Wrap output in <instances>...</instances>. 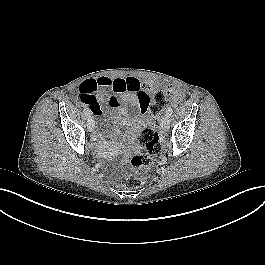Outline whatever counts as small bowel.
<instances>
[{
    "instance_id": "c3829d8e",
    "label": "small bowel",
    "mask_w": 265,
    "mask_h": 265,
    "mask_svg": "<svg viewBox=\"0 0 265 265\" xmlns=\"http://www.w3.org/2000/svg\"><path fill=\"white\" fill-rule=\"evenodd\" d=\"M155 88L153 82H141L138 78L129 76L125 78H110L106 76L87 80L80 87L78 94L74 96L76 102L88 107L94 116H101L102 104L107 103L110 107L118 108L117 120L123 124L138 121L128 116L127 109L121 106L122 102L133 105L137 113L144 114L151 107V91ZM113 91L116 96L107 93ZM148 90V91H145ZM95 140L104 142L103 135L96 131Z\"/></svg>"
}]
</instances>
